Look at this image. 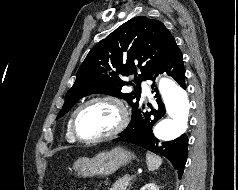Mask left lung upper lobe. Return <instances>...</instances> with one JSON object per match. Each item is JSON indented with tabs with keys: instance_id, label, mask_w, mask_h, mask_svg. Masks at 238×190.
Returning a JSON list of instances; mask_svg holds the SVG:
<instances>
[{
	"instance_id": "1",
	"label": "left lung upper lobe",
	"mask_w": 238,
	"mask_h": 190,
	"mask_svg": "<svg viewBox=\"0 0 238 190\" xmlns=\"http://www.w3.org/2000/svg\"><path fill=\"white\" fill-rule=\"evenodd\" d=\"M178 50L174 37L162 22L145 16L130 19L89 52L57 118L79 99L95 93L122 98L133 111L139 105L141 82L150 79ZM137 69L141 71L138 77ZM132 74H135L134 84L121 78ZM128 84L134 85L135 90L121 92Z\"/></svg>"
}]
</instances>
